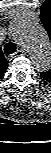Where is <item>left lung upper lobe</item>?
<instances>
[{
	"mask_svg": "<svg viewBox=\"0 0 51 153\" xmlns=\"http://www.w3.org/2000/svg\"><path fill=\"white\" fill-rule=\"evenodd\" d=\"M40 20L51 40V0L44 1L40 7ZM40 75L45 81L51 82V69L47 72H41Z\"/></svg>",
	"mask_w": 51,
	"mask_h": 153,
	"instance_id": "1",
	"label": "left lung upper lobe"
}]
</instances>
